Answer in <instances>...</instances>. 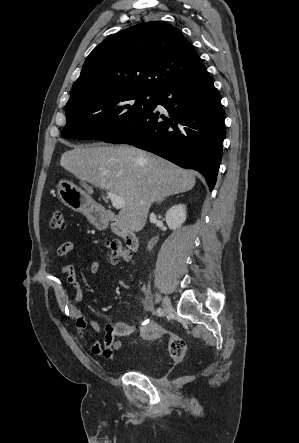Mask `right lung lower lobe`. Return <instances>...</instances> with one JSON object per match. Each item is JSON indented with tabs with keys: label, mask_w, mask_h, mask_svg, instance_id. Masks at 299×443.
Returning a JSON list of instances; mask_svg holds the SVG:
<instances>
[{
	"label": "right lung lower lobe",
	"mask_w": 299,
	"mask_h": 443,
	"mask_svg": "<svg viewBox=\"0 0 299 443\" xmlns=\"http://www.w3.org/2000/svg\"><path fill=\"white\" fill-rule=\"evenodd\" d=\"M153 108L107 143L129 144L201 172L212 190L222 158L224 114L206 69L162 87ZM161 105L166 115L155 110Z\"/></svg>",
	"instance_id": "right-lung-lower-lobe-1"
}]
</instances>
